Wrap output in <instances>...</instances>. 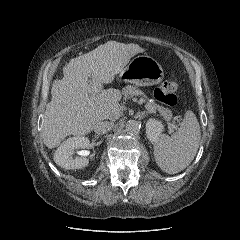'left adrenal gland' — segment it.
<instances>
[{"instance_id": "obj_1", "label": "left adrenal gland", "mask_w": 240, "mask_h": 240, "mask_svg": "<svg viewBox=\"0 0 240 240\" xmlns=\"http://www.w3.org/2000/svg\"><path fill=\"white\" fill-rule=\"evenodd\" d=\"M146 114H150V112H148V111H144V112H141L140 114H139V117L140 118H144V116L146 115Z\"/></svg>"}]
</instances>
